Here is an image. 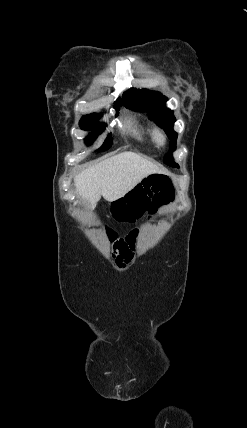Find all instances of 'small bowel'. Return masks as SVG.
<instances>
[{
  "label": "small bowel",
  "mask_w": 247,
  "mask_h": 428,
  "mask_svg": "<svg viewBox=\"0 0 247 428\" xmlns=\"http://www.w3.org/2000/svg\"><path fill=\"white\" fill-rule=\"evenodd\" d=\"M132 255L133 254L131 249L126 253H118L116 257V261L119 265L123 266L125 265V263L130 262V260L132 259Z\"/></svg>",
  "instance_id": "c3829d8e"
}]
</instances>
